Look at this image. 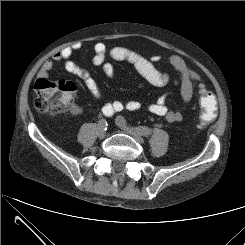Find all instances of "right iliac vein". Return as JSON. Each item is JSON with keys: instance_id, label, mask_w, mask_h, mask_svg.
Here are the masks:
<instances>
[{"instance_id": "obj_1", "label": "right iliac vein", "mask_w": 245, "mask_h": 245, "mask_svg": "<svg viewBox=\"0 0 245 245\" xmlns=\"http://www.w3.org/2000/svg\"><path fill=\"white\" fill-rule=\"evenodd\" d=\"M98 136L99 138H104L106 136V130L103 126H98Z\"/></svg>"}]
</instances>
